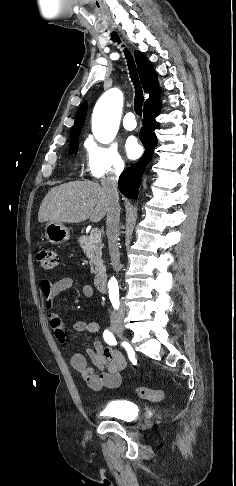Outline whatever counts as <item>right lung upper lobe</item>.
<instances>
[{"mask_svg": "<svg viewBox=\"0 0 236 486\" xmlns=\"http://www.w3.org/2000/svg\"><path fill=\"white\" fill-rule=\"evenodd\" d=\"M135 59L138 66V72L140 75L143 89L149 93V98L145 102L146 104L150 101L157 99L160 95L159 87L157 84V76L151 62L146 58L144 54H142L139 51H136ZM86 113H87V102H84L80 106L76 114L75 123L74 126L72 127V131L70 134L71 140L78 138L85 121Z\"/></svg>", "mask_w": 236, "mask_h": 486, "instance_id": "cb5924a9", "label": "right lung upper lobe"}]
</instances>
